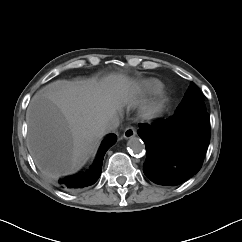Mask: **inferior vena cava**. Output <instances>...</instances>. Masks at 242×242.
Segmentation results:
<instances>
[{"instance_id":"602c4592","label":"inferior vena cava","mask_w":242,"mask_h":242,"mask_svg":"<svg viewBox=\"0 0 242 242\" xmlns=\"http://www.w3.org/2000/svg\"><path fill=\"white\" fill-rule=\"evenodd\" d=\"M119 126V118L117 116H112L107 119L103 126L105 132H110Z\"/></svg>"}]
</instances>
